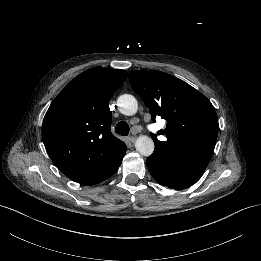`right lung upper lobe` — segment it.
Returning a JSON list of instances; mask_svg holds the SVG:
<instances>
[{"instance_id": "obj_1", "label": "right lung upper lobe", "mask_w": 261, "mask_h": 261, "mask_svg": "<svg viewBox=\"0 0 261 261\" xmlns=\"http://www.w3.org/2000/svg\"><path fill=\"white\" fill-rule=\"evenodd\" d=\"M126 77L120 69H88L50 105L42 126L43 142L52 161L71 180L83 183L125 155V143L110 130L109 101Z\"/></svg>"}]
</instances>
